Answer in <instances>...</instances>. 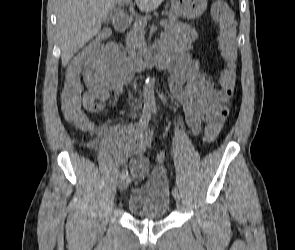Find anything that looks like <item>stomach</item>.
Listing matches in <instances>:
<instances>
[{
	"label": "stomach",
	"instance_id": "obj_1",
	"mask_svg": "<svg viewBox=\"0 0 295 250\" xmlns=\"http://www.w3.org/2000/svg\"><path fill=\"white\" fill-rule=\"evenodd\" d=\"M171 10L180 17L196 18L207 8V0H171Z\"/></svg>",
	"mask_w": 295,
	"mask_h": 250
}]
</instances>
